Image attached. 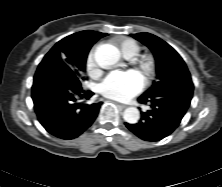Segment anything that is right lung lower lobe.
Listing matches in <instances>:
<instances>
[{
	"mask_svg": "<svg viewBox=\"0 0 222 187\" xmlns=\"http://www.w3.org/2000/svg\"><path fill=\"white\" fill-rule=\"evenodd\" d=\"M92 95L61 59L44 61L34 76L32 99L38 120L50 134L61 139L76 138L92 125L102 102H79Z\"/></svg>",
	"mask_w": 222,
	"mask_h": 187,
	"instance_id": "obj_1",
	"label": "right lung lower lobe"
}]
</instances>
